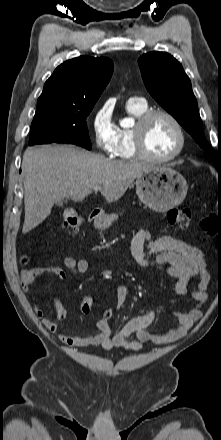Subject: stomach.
<instances>
[{"label":"stomach","mask_w":221,"mask_h":440,"mask_svg":"<svg viewBox=\"0 0 221 440\" xmlns=\"http://www.w3.org/2000/svg\"><path fill=\"white\" fill-rule=\"evenodd\" d=\"M136 193L139 199L152 210L165 212L178 206L185 198L188 186L185 178L168 166L155 165L136 178ZM117 214L102 215L95 220V226L106 229L111 226Z\"/></svg>","instance_id":"0dacf381"}]
</instances>
